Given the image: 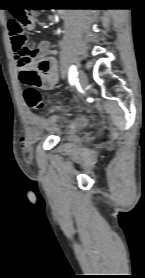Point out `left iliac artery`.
<instances>
[{
	"label": "left iliac artery",
	"mask_w": 145,
	"mask_h": 278,
	"mask_svg": "<svg viewBox=\"0 0 145 278\" xmlns=\"http://www.w3.org/2000/svg\"><path fill=\"white\" fill-rule=\"evenodd\" d=\"M77 74H78V72H77L76 66L72 65L69 69V75H68L69 82L71 85H73L78 80Z\"/></svg>",
	"instance_id": "1"
}]
</instances>
